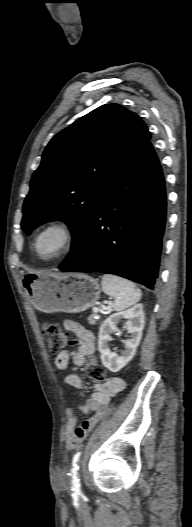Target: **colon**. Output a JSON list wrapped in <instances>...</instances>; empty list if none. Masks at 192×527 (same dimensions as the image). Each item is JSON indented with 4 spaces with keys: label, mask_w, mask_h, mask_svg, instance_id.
Listing matches in <instances>:
<instances>
[{
    "label": "colon",
    "mask_w": 192,
    "mask_h": 527,
    "mask_svg": "<svg viewBox=\"0 0 192 527\" xmlns=\"http://www.w3.org/2000/svg\"><path fill=\"white\" fill-rule=\"evenodd\" d=\"M42 333L48 343L51 352H58L65 347L72 345L76 341L74 332L64 330L58 324L46 322L42 326ZM87 375L93 381L101 384L106 380V374L103 367L94 358H90L86 366Z\"/></svg>",
    "instance_id": "colon-1"
}]
</instances>
